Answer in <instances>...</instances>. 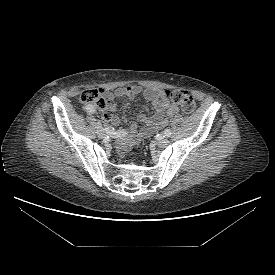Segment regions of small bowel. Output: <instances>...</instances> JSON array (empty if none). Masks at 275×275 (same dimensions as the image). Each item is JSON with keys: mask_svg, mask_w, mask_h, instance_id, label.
Wrapping results in <instances>:
<instances>
[{"mask_svg": "<svg viewBox=\"0 0 275 275\" xmlns=\"http://www.w3.org/2000/svg\"><path fill=\"white\" fill-rule=\"evenodd\" d=\"M101 94L106 100L104 108L100 109L105 114V120L116 126L120 119L114 114L116 105L115 99L127 97L133 99L135 96L142 94L143 97L152 103L153 114L141 113L138 118L144 122L146 126L134 137L123 136L117 143V149L120 153L129 150L134 144L146 138L154 131L167 125L169 120L176 116L179 108L176 104L168 101L163 97V91L154 88L143 89L141 86L131 85L119 87L114 90H100ZM92 106V105H91ZM148 111V108H145Z\"/></svg>", "mask_w": 275, "mask_h": 275, "instance_id": "obj_1", "label": "small bowel"}]
</instances>
